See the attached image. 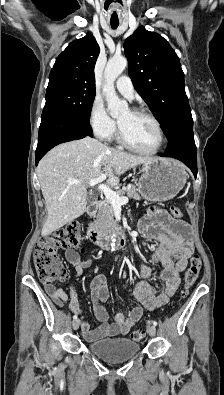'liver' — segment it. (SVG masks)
Instances as JSON below:
<instances>
[{
    "instance_id": "liver-1",
    "label": "liver",
    "mask_w": 224,
    "mask_h": 395,
    "mask_svg": "<svg viewBox=\"0 0 224 395\" xmlns=\"http://www.w3.org/2000/svg\"><path fill=\"white\" fill-rule=\"evenodd\" d=\"M126 153L86 137L58 145L39 162L37 175L47 209L42 236H47L86 211L87 186L91 179L107 175L116 186L127 170L152 160ZM70 180L80 184H71Z\"/></svg>"
}]
</instances>
